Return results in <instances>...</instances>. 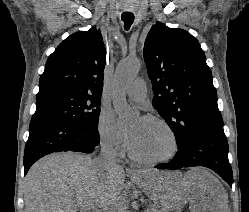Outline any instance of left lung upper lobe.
<instances>
[{
  "mask_svg": "<svg viewBox=\"0 0 249 212\" xmlns=\"http://www.w3.org/2000/svg\"><path fill=\"white\" fill-rule=\"evenodd\" d=\"M144 60L153 106L172 129L178 147L196 130L223 127L212 73L195 37L157 23L146 38Z\"/></svg>",
  "mask_w": 249,
  "mask_h": 212,
  "instance_id": "obj_1",
  "label": "left lung upper lobe"
}]
</instances>
